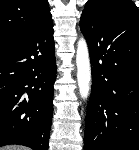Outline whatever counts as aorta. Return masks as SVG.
<instances>
[{
    "label": "aorta",
    "instance_id": "obj_1",
    "mask_svg": "<svg viewBox=\"0 0 139 150\" xmlns=\"http://www.w3.org/2000/svg\"><path fill=\"white\" fill-rule=\"evenodd\" d=\"M76 65L79 92L86 99L91 90V66L88 45L83 37L77 43Z\"/></svg>",
    "mask_w": 139,
    "mask_h": 150
}]
</instances>
